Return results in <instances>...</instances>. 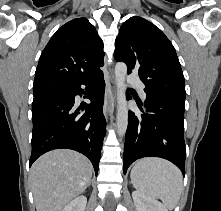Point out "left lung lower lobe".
Masks as SVG:
<instances>
[{"mask_svg": "<svg viewBox=\"0 0 221 211\" xmlns=\"http://www.w3.org/2000/svg\"><path fill=\"white\" fill-rule=\"evenodd\" d=\"M146 94L144 106L147 113L138 116L129 111L124 146V174L135 160L153 156L171 161L184 176L185 98L177 95ZM127 99H131L129 94ZM138 106L142 110L140 104Z\"/></svg>", "mask_w": 221, "mask_h": 211, "instance_id": "1", "label": "left lung lower lobe"}]
</instances>
